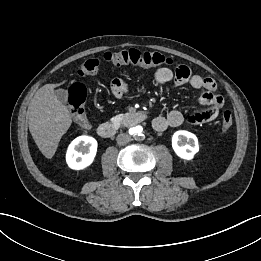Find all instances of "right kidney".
<instances>
[{
    "instance_id": "obj_1",
    "label": "right kidney",
    "mask_w": 261,
    "mask_h": 261,
    "mask_svg": "<svg viewBox=\"0 0 261 261\" xmlns=\"http://www.w3.org/2000/svg\"><path fill=\"white\" fill-rule=\"evenodd\" d=\"M96 152V139L82 135L75 138L69 145L66 153V162L71 169L82 170L93 162Z\"/></svg>"
}]
</instances>
